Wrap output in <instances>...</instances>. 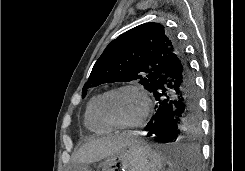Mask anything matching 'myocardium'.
<instances>
[{"label":"myocardium","mask_w":245,"mask_h":171,"mask_svg":"<svg viewBox=\"0 0 245 171\" xmlns=\"http://www.w3.org/2000/svg\"><path fill=\"white\" fill-rule=\"evenodd\" d=\"M122 90H134L138 92L143 99L144 109H143L142 115L140 116L138 120H136L133 123H128V124L117 123L113 121L106 113L105 103H106L107 98L113 93H116ZM150 110H151V99L148 93L146 92V90L137 84H123V85L113 87L109 89L108 91L104 92L101 95L99 102H98V114L101 120L105 124L110 126L111 128L119 129V130H131V129H136V128L141 127L148 119Z\"/></svg>","instance_id":"obj_1"}]
</instances>
